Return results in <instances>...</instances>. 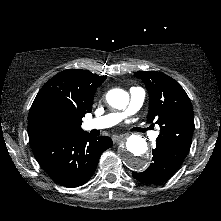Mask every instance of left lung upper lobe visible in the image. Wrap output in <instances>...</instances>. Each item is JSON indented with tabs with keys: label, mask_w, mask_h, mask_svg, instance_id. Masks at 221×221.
Masks as SVG:
<instances>
[{
	"label": "left lung upper lobe",
	"mask_w": 221,
	"mask_h": 221,
	"mask_svg": "<svg viewBox=\"0 0 221 221\" xmlns=\"http://www.w3.org/2000/svg\"><path fill=\"white\" fill-rule=\"evenodd\" d=\"M149 92L147 121L160 126L156 147L181 166L191 146L194 114L189 97L173 78L157 71L134 73Z\"/></svg>",
	"instance_id": "1"
}]
</instances>
